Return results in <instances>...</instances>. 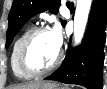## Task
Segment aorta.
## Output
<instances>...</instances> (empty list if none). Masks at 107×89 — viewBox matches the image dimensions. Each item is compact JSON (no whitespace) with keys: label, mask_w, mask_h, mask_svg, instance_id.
Segmentation results:
<instances>
[{"label":"aorta","mask_w":107,"mask_h":89,"mask_svg":"<svg viewBox=\"0 0 107 89\" xmlns=\"http://www.w3.org/2000/svg\"><path fill=\"white\" fill-rule=\"evenodd\" d=\"M92 0H77L75 15H74V42L75 45L81 43L86 24L91 9Z\"/></svg>","instance_id":"obj_1"}]
</instances>
